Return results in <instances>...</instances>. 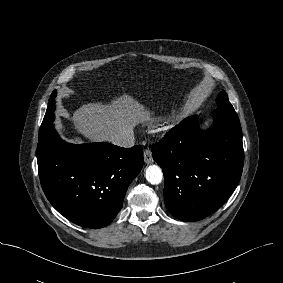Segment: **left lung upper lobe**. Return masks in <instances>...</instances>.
<instances>
[{"instance_id": "left-lung-upper-lobe-1", "label": "left lung upper lobe", "mask_w": 283, "mask_h": 283, "mask_svg": "<svg viewBox=\"0 0 283 283\" xmlns=\"http://www.w3.org/2000/svg\"><path fill=\"white\" fill-rule=\"evenodd\" d=\"M216 102H217L218 107L233 108V106L229 102L227 94L224 90L219 93Z\"/></svg>"}]
</instances>
